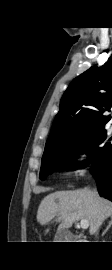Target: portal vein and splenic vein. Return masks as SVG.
<instances>
[{"label": "portal vein and splenic vein", "mask_w": 112, "mask_h": 270, "mask_svg": "<svg viewBox=\"0 0 112 270\" xmlns=\"http://www.w3.org/2000/svg\"><path fill=\"white\" fill-rule=\"evenodd\" d=\"M80 227H81L82 229H87V228L89 227L88 221H87V220H81V221H80Z\"/></svg>", "instance_id": "18ae733b"}]
</instances>
